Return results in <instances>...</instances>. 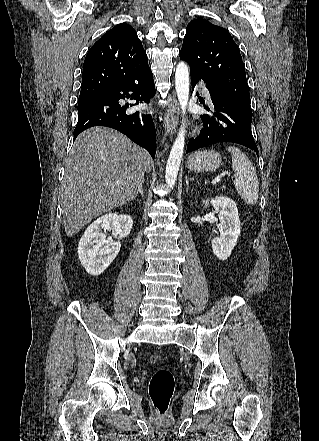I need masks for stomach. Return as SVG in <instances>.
Returning <instances> with one entry per match:
<instances>
[{
    "label": "stomach",
    "mask_w": 319,
    "mask_h": 441,
    "mask_svg": "<svg viewBox=\"0 0 319 441\" xmlns=\"http://www.w3.org/2000/svg\"><path fill=\"white\" fill-rule=\"evenodd\" d=\"M220 164V155L212 150L195 152L187 160L188 169L195 172L215 171Z\"/></svg>",
    "instance_id": "stomach-1"
}]
</instances>
